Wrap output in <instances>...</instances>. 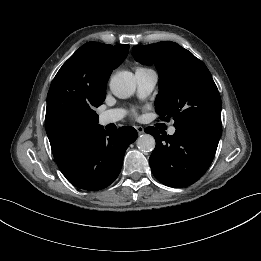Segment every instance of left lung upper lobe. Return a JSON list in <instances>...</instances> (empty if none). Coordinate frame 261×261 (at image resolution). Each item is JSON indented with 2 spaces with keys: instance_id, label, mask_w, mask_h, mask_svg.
Listing matches in <instances>:
<instances>
[{
  "instance_id": "obj_1",
  "label": "left lung upper lobe",
  "mask_w": 261,
  "mask_h": 261,
  "mask_svg": "<svg viewBox=\"0 0 261 261\" xmlns=\"http://www.w3.org/2000/svg\"><path fill=\"white\" fill-rule=\"evenodd\" d=\"M132 52L159 72L155 107L162 118H173L176 129L221 131V98L202 61L170 41L134 46Z\"/></svg>"
}]
</instances>
